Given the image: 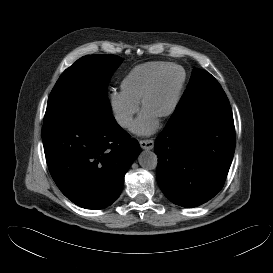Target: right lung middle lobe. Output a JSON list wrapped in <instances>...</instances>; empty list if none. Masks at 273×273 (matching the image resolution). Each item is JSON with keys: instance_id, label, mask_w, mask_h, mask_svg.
Returning <instances> with one entry per match:
<instances>
[{"instance_id": "dd1d6c3e", "label": "right lung middle lobe", "mask_w": 273, "mask_h": 273, "mask_svg": "<svg viewBox=\"0 0 273 273\" xmlns=\"http://www.w3.org/2000/svg\"><path fill=\"white\" fill-rule=\"evenodd\" d=\"M121 62L122 58L112 55H89L77 60L62 73L52 89L44 120L69 109L111 112L107 87Z\"/></svg>"}]
</instances>
